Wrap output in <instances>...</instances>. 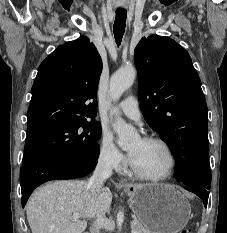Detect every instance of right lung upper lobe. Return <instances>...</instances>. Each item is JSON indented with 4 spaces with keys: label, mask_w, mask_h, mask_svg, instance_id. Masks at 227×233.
Returning a JSON list of instances; mask_svg holds the SVG:
<instances>
[{
    "label": "right lung upper lobe",
    "mask_w": 227,
    "mask_h": 233,
    "mask_svg": "<svg viewBox=\"0 0 227 233\" xmlns=\"http://www.w3.org/2000/svg\"><path fill=\"white\" fill-rule=\"evenodd\" d=\"M101 57L87 37L67 42L39 66L32 86L27 134L96 115Z\"/></svg>",
    "instance_id": "cb5924a9"
}]
</instances>
